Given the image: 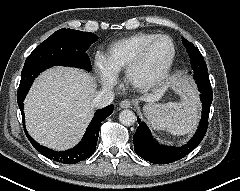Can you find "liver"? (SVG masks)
I'll return each mask as SVG.
<instances>
[{"label": "liver", "instance_id": "6515ba94", "mask_svg": "<svg viewBox=\"0 0 240 191\" xmlns=\"http://www.w3.org/2000/svg\"><path fill=\"white\" fill-rule=\"evenodd\" d=\"M95 78L70 67L43 72L24 101L26 127L38 143L54 150H67L83 136L93 117ZM151 97L153 102L162 96Z\"/></svg>", "mask_w": 240, "mask_h": 191}]
</instances>
